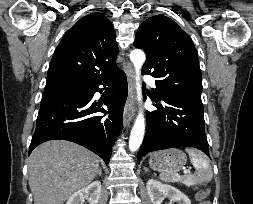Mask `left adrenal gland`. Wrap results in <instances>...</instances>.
<instances>
[{
	"instance_id": "obj_1",
	"label": "left adrenal gland",
	"mask_w": 253,
	"mask_h": 204,
	"mask_svg": "<svg viewBox=\"0 0 253 204\" xmlns=\"http://www.w3.org/2000/svg\"><path fill=\"white\" fill-rule=\"evenodd\" d=\"M144 171L147 172V171H148V168H147V167H144Z\"/></svg>"
}]
</instances>
